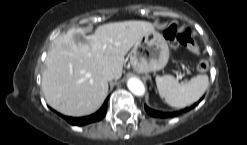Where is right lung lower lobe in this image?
Listing matches in <instances>:
<instances>
[{"label": "right lung lower lobe", "mask_w": 247, "mask_h": 145, "mask_svg": "<svg viewBox=\"0 0 247 145\" xmlns=\"http://www.w3.org/2000/svg\"><path fill=\"white\" fill-rule=\"evenodd\" d=\"M107 101L108 99L105 100L103 106L100 108V110H98L95 114H92L90 116H86V117H81V118H73V117H66L63 116V118L69 122L72 125H86L88 123L91 122H96L101 120L105 115H106V111H107Z\"/></svg>", "instance_id": "1"}]
</instances>
